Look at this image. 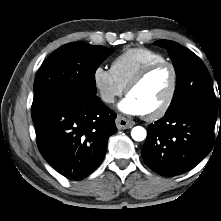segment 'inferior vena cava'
<instances>
[{"label": "inferior vena cava", "mask_w": 221, "mask_h": 221, "mask_svg": "<svg viewBox=\"0 0 221 221\" xmlns=\"http://www.w3.org/2000/svg\"><path fill=\"white\" fill-rule=\"evenodd\" d=\"M102 99L106 103H113L114 102V95L112 94H105L102 96Z\"/></svg>", "instance_id": "inferior-vena-cava-1"}]
</instances>
